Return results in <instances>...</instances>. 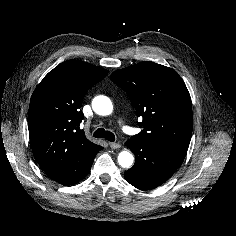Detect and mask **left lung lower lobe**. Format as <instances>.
Here are the masks:
<instances>
[{
	"instance_id": "0a47b994",
	"label": "left lung lower lobe",
	"mask_w": 236,
	"mask_h": 236,
	"mask_svg": "<svg viewBox=\"0 0 236 236\" xmlns=\"http://www.w3.org/2000/svg\"><path fill=\"white\" fill-rule=\"evenodd\" d=\"M126 146L135 154L136 162L125 172V179L141 190H150L163 184L185 158L182 153L138 139H129Z\"/></svg>"
}]
</instances>
